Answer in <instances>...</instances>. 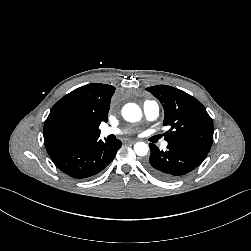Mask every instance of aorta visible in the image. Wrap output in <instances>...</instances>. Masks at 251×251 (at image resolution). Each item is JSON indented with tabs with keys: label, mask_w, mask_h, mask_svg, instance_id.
Listing matches in <instances>:
<instances>
[{
	"label": "aorta",
	"mask_w": 251,
	"mask_h": 251,
	"mask_svg": "<svg viewBox=\"0 0 251 251\" xmlns=\"http://www.w3.org/2000/svg\"><path fill=\"white\" fill-rule=\"evenodd\" d=\"M122 116L128 122H137L142 117L140 107L135 103H127L122 108ZM149 147L144 142H137L134 145V151L138 156L147 155Z\"/></svg>",
	"instance_id": "1"
}]
</instances>
